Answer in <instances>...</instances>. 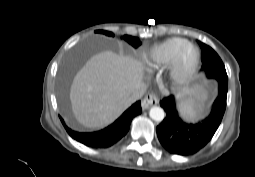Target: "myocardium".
Returning <instances> with one entry per match:
<instances>
[{"label":"myocardium","mask_w":255,"mask_h":177,"mask_svg":"<svg viewBox=\"0 0 255 177\" xmlns=\"http://www.w3.org/2000/svg\"><path fill=\"white\" fill-rule=\"evenodd\" d=\"M189 49L192 50V57L188 63H185V54ZM199 63L200 53L198 48L192 42L186 40L167 65V76L175 87H184L195 77Z\"/></svg>","instance_id":"1"}]
</instances>
